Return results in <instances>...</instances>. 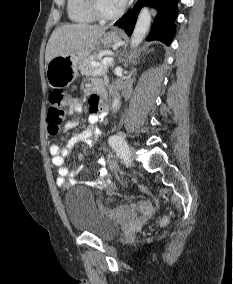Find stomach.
I'll use <instances>...</instances> for the list:
<instances>
[{
    "label": "stomach",
    "instance_id": "stomach-1",
    "mask_svg": "<svg viewBox=\"0 0 233 284\" xmlns=\"http://www.w3.org/2000/svg\"><path fill=\"white\" fill-rule=\"evenodd\" d=\"M121 40L122 35L116 31L104 32L93 47L54 57L46 66V77L49 86L51 88L69 86L78 76L79 65L91 55L95 46H110Z\"/></svg>",
    "mask_w": 233,
    "mask_h": 284
}]
</instances>
